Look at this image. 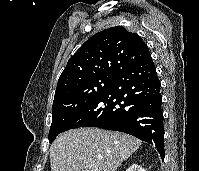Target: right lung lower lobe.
<instances>
[{
    "mask_svg": "<svg viewBox=\"0 0 199 171\" xmlns=\"http://www.w3.org/2000/svg\"><path fill=\"white\" fill-rule=\"evenodd\" d=\"M161 102L160 81L150 56L120 72L64 131L98 127L125 132L154 145L164 158Z\"/></svg>",
    "mask_w": 199,
    "mask_h": 171,
    "instance_id": "obj_1",
    "label": "right lung lower lobe"
}]
</instances>
